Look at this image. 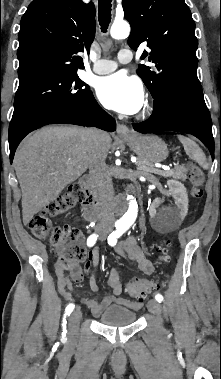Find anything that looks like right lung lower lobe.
I'll return each instance as SVG.
<instances>
[{"label": "right lung lower lobe", "instance_id": "1", "mask_svg": "<svg viewBox=\"0 0 221 379\" xmlns=\"http://www.w3.org/2000/svg\"><path fill=\"white\" fill-rule=\"evenodd\" d=\"M52 123L94 126L110 132L116 129L115 120L99 106L91 93L87 100L40 119L14 139L9 140L10 162L12 163L13 161L17 146L28 133Z\"/></svg>", "mask_w": 221, "mask_h": 379}]
</instances>
